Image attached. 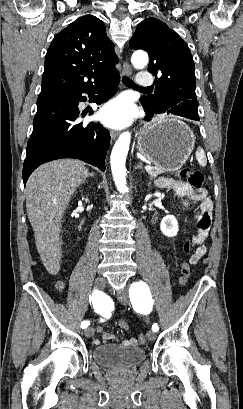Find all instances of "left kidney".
Wrapping results in <instances>:
<instances>
[{
    "mask_svg": "<svg viewBox=\"0 0 243 409\" xmlns=\"http://www.w3.org/2000/svg\"><path fill=\"white\" fill-rule=\"evenodd\" d=\"M160 230L167 237L176 236L179 230L176 218L173 215L165 216L161 221Z\"/></svg>",
    "mask_w": 243,
    "mask_h": 409,
    "instance_id": "5707ae66",
    "label": "left kidney"
}]
</instances>
